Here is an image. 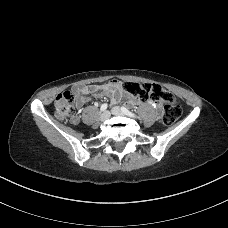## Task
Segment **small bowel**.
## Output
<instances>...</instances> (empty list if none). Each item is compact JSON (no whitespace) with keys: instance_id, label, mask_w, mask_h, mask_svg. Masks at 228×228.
<instances>
[{"instance_id":"c3829d8e","label":"small bowel","mask_w":228,"mask_h":228,"mask_svg":"<svg viewBox=\"0 0 228 228\" xmlns=\"http://www.w3.org/2000/svg\"><path fill=\"white\" fill-rule=\"evenodd\" d=\"M73 92L77 98L78 104H83L88 101L86 95L94 94L97 97L108 96L112 103L119 102L125 95L121 82L111 80L108 83L101 85H80L73 88ZM128 102L131 105L136 104L138 101L133 97H128ZM155 107L160 108V104L153 102Z\"/></svg>"}]
</instances>
